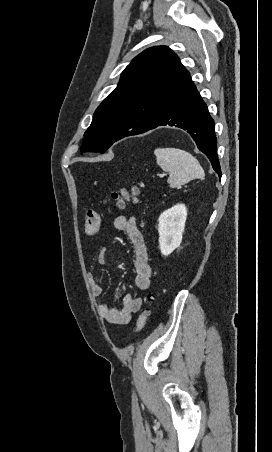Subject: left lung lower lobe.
I'll return each mask as SVG.
<instances>
[{
    "label": "left lung lower lobe",
    "mask_w": 272,
    "mask_h": 452,
    "mask_svg": "<svg viewBox=\"0 0 272 452\" xmlns=\"http://www.w3.org/2000/svg\"><path fill=\"white\" fill-rule=\"evenodd\" d=\"M158 126H174L186 130L195 141L197 148L209 158L214 171L221 178L214 120L193 84L190 74L165 103L157 120L146 130L137 134Z\"/></svg>",
    "instance_id": "obj_1"
}]
</instances>
